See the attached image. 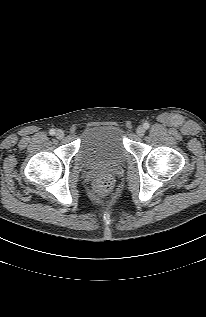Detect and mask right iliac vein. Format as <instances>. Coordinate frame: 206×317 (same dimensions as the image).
<instances>
[{"mask_svg":"<svg viewBox=\"0 0 206 317\" xmlns=\"http://www.w3.org/2000/svg\"><path fill=\"white\" fill-rule=\"evenodd\" d=\"M55 136L58 138V139H62L64 137V131L61 130V129H58L56 132H55Z\"/></svg>","mask_w":206,"mask_h":317,"instance_id":"right-iliac-vein-1","label":"right iliac vein"}]
</instances>
